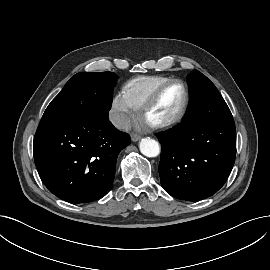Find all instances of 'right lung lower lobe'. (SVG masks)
<instances>
[{
	"instance_id": "1",
	"label": "right lung lower lobe",
	"mask_w": 270,
	"mask_h": 270,
	"mask_svg": "<svg viewBox=\"0 0 270 270\" xmlns=\"http://www.w3.org/2000/svg\"><path fill=\"white\" fill-rule=\"evenodd\" d=\"M130 136L118 131L108 112L81 118L41 119L34 141V160L47 189L71 203L105 196L114 181L119 152Z\"/></svg>"
}]
</instances>
